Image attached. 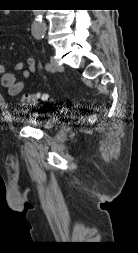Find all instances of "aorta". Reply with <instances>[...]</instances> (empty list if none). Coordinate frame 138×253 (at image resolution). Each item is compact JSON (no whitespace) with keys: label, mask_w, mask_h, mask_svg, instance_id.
Wrapping results in <instances>:
<instances>
[{"label":"aorta","mask_w":138,"mask_h":253,"mask_svg":"<svg viewBox=\"0 0 138 253\" xmlns=\"http://www.w3.org/2000/svg\"><path fill=\"white\" fill-rule=\"evenodd\" d=\"M44 10H34V21L31 27L32 35L36 39H40L45 35L46 25L43 22Z\"/></svg>","instance_id":"obj_1"}]
</instances>
